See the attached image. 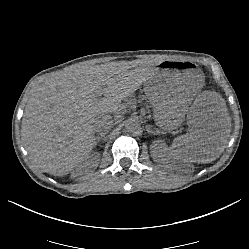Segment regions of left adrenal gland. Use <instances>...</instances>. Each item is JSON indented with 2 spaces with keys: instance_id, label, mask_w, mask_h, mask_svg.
I'll return each instance as SVG.
<instances>
[{
  "instance_id": "left-adrenal-gland-1",
  "label": "left adrenal gland",
  "mask_w": 249,
  "mask_h": 249,
  "mask_svg": "<svg viewBox=\"0 0 249 249\" xmlns=\"http://www.w3.org/2000/svg\"><path fill=\"white\" fill-rule=\"evenodd\" d=\"M147 132L152 134L153 130L151 128H147Z\"/></svg>"
}]
</instances>
